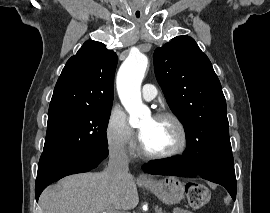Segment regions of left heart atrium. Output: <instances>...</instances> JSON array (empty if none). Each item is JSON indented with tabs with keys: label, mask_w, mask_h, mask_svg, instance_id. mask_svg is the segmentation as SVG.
<instances>
[{
	"label": "left heart atrium",
	"mask_w": 270,
	"mask_h": 213,
	"mask_svg": "<svg viewBox=\"0 0 270 213\" xmlns=\"http://www.w3.org/2000/svg\"><path fill=\"white\" fill-rule=\"evenodd\" d=\"M140 140H142V134L140 133Z\"/></svg>",
	"instance_id": "obj_1"
}]
</instances>
